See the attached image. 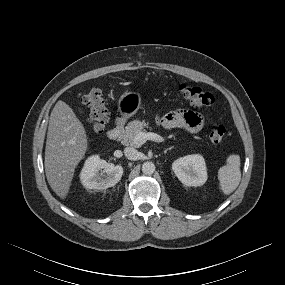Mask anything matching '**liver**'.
Listing matches in <instances>:
<instances>
[{
  "mask_svg": "<svg viewBox=\"0 0 285 285\" xmlns=\"http://www.w3.org/2000/svg\"><path fill=\"white\" fill-rule=\"evenodd\" d=\"M87 147L83 124L68 104L58 101L50 115L44 165L47 181L60 198H66Z\"/></svg>",
  "mask_w": 285,
  "mask_h": 285,
  "instance_id": "6515ba94",
  "label": "liver"
}]
</instances>
